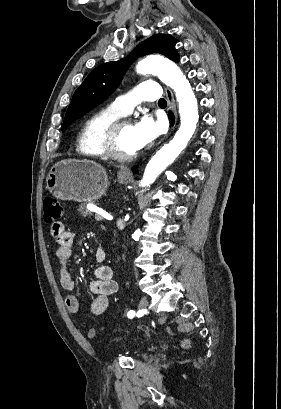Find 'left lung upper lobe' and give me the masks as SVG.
<instances>
[{
	"label": "left lung upper lobe",
	"mask_w": 281,
	"mask_h": 409,
	"mask_svg": "<svg viewBox=\"0 0 281 409\" xmlns=\"http://www.w3.org/2000/svg\"><path fill=\"white\" fill-rule=\"evenodd\" d=\"M175 43L171 35L156 34L140 43L126 58L96 67L75 91L62 124V131L105 101L117 88L129 66L140 56L159 53L178 62Z\"/></svg>",
	"instance_id": "5c2ea615"
}]
</instances>
